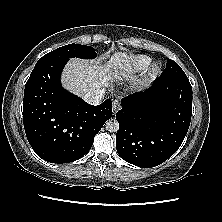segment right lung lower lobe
I'll return each mask as SVG.
<instances>
[{
	"mask_svg": "<svg viewBox=\"0 0 222 222\" xmlns=\"http://www.w3.org/2000/svg\"><path fill=\"white\" fill-rule=\"evenodd\" d=\"M67 61L35 66L23 100V124L31 147L42 159L58 164L83 157L112 117L110 99L93 106L61 86L60 76Z\"/></svg>",
	"mask_w": 222,
	"mask_h": 222,
	"instance_id": "1",
	"label": "right lung lower lobe"
}]
</instances>
